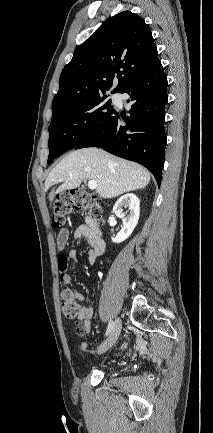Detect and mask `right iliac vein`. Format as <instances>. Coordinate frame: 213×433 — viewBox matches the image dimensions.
I'll return each instance as SVG.
<instances>
[{"mask_svg":"<svg viewBox=\"0 0 213 433\" xmlns=\"http://www.w3.org/2000/svg\"><path fill=\"white\" fill-rule=\"evenodd\" d=\"M122 328V322L120 318H117L114 322V327L108 337V339L99 347L98 353H104L111 348L117 341Z\"/></svg>","mask_w":213,"mask_h":433,"instance_id":"obj_1","label":"right iliac vein"}]
</instances>
